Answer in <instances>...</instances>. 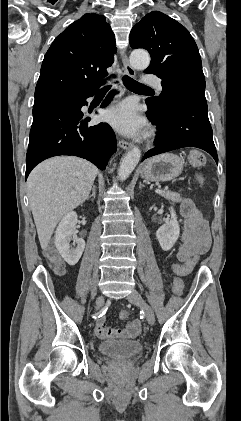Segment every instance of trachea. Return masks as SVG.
Here are the masks:
<instances>
[{"mask_svg": "<svg viewBox=\"0 0 241 421\" xmlns=\"http://www.w3.org/2000/svg\"><path fill=\"white\" fill-rule=\"evenodd\" d=\"M124 85L129 89V90H137V91H143V90H147L149 89L147 86L140 84L139 82L135 81L134 79H132L129 76H124L122 78ZM111 88V85H107L104 86L100 91L101 92H107L109 89Z\"/></svg>", "mask_w": 241, "mask_h": 421, "instance_id": "3493384b", "label": "trachea"}]
</instances>
